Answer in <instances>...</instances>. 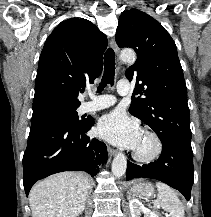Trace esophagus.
Returning a JSON list of instances; mask_svg holds the SVG:
<instances>
[{"mask_svg":"<svg viewBox=\"0 0 211 217\" xmlns=\"http://www.w3.org/2000/svg\"><path fill=\"white\" fill-rule=\"evenodd\" d=\"M110 45L114 49L115 53L118 54L119 49H118V46H117L116 41H115L114 38H112L110 40ZM108 153H109L110 156H114L117 153V151L108 146Z\"/></svg>","mask_w":211,"mask_h":217,"instance_id":"obj_1","label":"esophagus"}]
</instances>
